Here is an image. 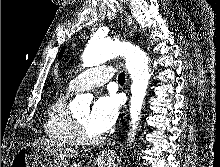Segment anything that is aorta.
I'll list each match as a JSON object with an SVG mask.
<instances>
[{
	"mask_svg": "<svg viewBox=\"0 0 220 167\" xmlns=\"http://www.w3.org/2000/svg\"><path fill=\"white\" fill-rule=\"evenodd\" d=\"M118 56L125 57V66L132 77L130 99L132 141L150 79L147 55L139 47L129 42L93 36L82 54V61L84 67H92ZM89 103L90 99L86 95H77L70 103V108L74 110L83 105H89Z\"/></svg>",
	"mask_w": 220,
	"mask_h": 167,
	"instance_id": "obj_1",
	"label": "aorta"
}]
</instances>
